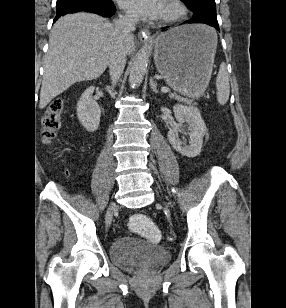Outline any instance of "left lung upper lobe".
<instances>
[{"instance_id":"5c2ea615","label":"left lung upper lobe","mask_w":286,"mask_h":308,"mask_svg":"<svg viewBox=\"0 0 286 308\" xmlns=\"http://www.w3.org/2000/svg\"><path fill=\"white\" fill-rule=\"evenodd\" d=\"M188 9L195 11L201 7H216L215 0H182Z\"/></svg>"}]
</instances>
